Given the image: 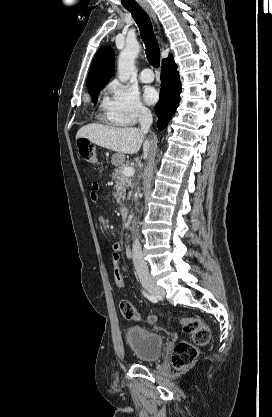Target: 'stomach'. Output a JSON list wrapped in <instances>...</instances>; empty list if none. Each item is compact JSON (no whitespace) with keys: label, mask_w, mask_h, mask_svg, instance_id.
<instances>
[{"label":"stomach","mask_w":272,"mask_h":417,"mask_svg":"<svg viewBox=\"0 0 272 417\" xmlns=\"http://www.w3.org/2000/svg\"><path fill=\"white\" fill-rule=\"evenodd\" d=\"M125 157L123 153H115L114 155H112L111 157V163L115 166H120L124 163Z\"/></svg>","instance_id":"stomach-1"}]
</instances>
